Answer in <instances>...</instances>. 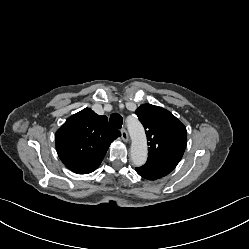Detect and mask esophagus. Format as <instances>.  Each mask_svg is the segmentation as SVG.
Wrapping results in <instances>:
<instances>
[{
  "mask_svg": "<svg viewBox=\"0 0 249 249\" xmlns=\"http://www.w3.org/2000/svg\"><path fill=\"white\" fill-rule=\"evenodd\" d=\"M121 137L123 139L124 142H128L129 141V136H128V133L126 131L125 128H122L121 129Z\"/></svg>",
  "mask_w": 249,
  "mask_h": 249,
  "instance_id": "34e87169",
  "label": "esophagus"
}]
</instances>
